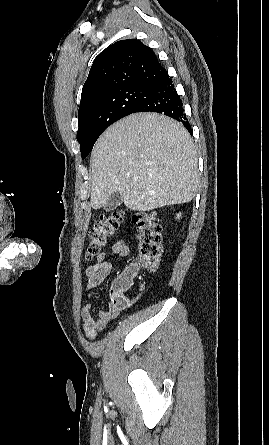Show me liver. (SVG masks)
<instances>
[{"mask_svg":"<svg viewBox=\"0 0 269 445\" xmlns=\"http://www.w3.org/2000/svg\"><path fill=\"white\" fill-rule=\"evenodd\" d=\"M93 209L114 192L135 211L190 202L199 185L197 153L188 131L157 113L129 115L110 126L91 154Z\"/></svg>","mask_w":269,"mask_h":445,"instance_id":"obj_1","label":"liver"}]
</instances>
